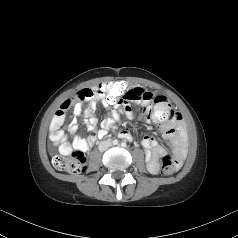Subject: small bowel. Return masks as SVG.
<instances>
[{
	"instance_id": "small-bowel-1",
	"label": "small bowel",
	"mask_w": 238,
	"mask_h": 238,
	"mask_svg": "<svg viewBox=\"0 0 238 238\" xmlns=\"http://www.w3.org/2000/svg\"><path fill=\"white\" fill-rule=\"evenodd\" d=\"M153 100L154 96L141 87L128 89L119 103H108L104 97H96L89 102L88 108L85 111L81 102L74 101L72 98L67 99L60 105L52 118L50 124L51 140L55 145L59 146V152L63 155L69 154L72 148L88 151L96 139L106 136L108 130L119 121L122 115L128 119L133 117L132 103L137 104L141 112L147 117L149 105ZM98 104L109 110L108 117L103 121L102 128L100 129L97 128L98 119L94 114ZM70 107H73L74 117L69 124V130L72 133L76 131L78 118L82 116L86 130L89 132L86 139L74 137L70 142L68 136L61 130L65 120V113ZM157 123L159 124V131L170 143L175 157L178 160H182L185 156L187 135L181 116L175 113V116L170 121ZM119 136L126 140L132 139V135L127 129L120 130ZM141 144L145 149L148 170L151 173H157L159 170V158L166 153V149L155 138L150 136H145Z\"/></svg>"
}]
</instances>
